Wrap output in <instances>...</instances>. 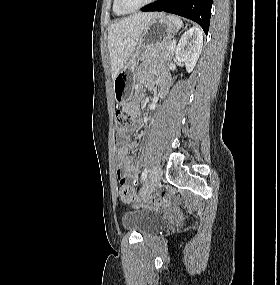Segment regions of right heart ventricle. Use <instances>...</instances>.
<instances>
[{"mask_svg":"<svg viewBox=\"0 0 280 285\" xmlns=\"http://www.w3.org/2000/svg\"><path fill=\"white\" fill-rule=\"evenodd\" d=\"M112 8H113V11H114V13H115L116 15H125V14L129 13V12L123 11V10L119 7V5H118V3H117V0H113Z\"/></svg>","mask_w":280,"mask_h":285,"instance_id":"e07e8e85","label":"right heart ventricle"}]
</instances>
